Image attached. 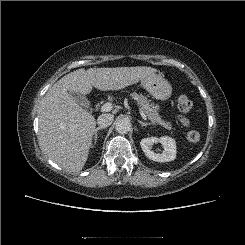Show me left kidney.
I'll return each instance as SVG.
<instances>
[{
    "label": "left kidney",
    "mask_w": 245,
    "mask_h": 245,
    "mask_svg": "<svg viewBox=\"0 0 245 245\" xmlns=\"http://www.w3.org/2000/svg\"><path fill=\"white\" fill-rule=\"evenodd\" d=\"M158 142L163 146L164 150L162 153H156L152 150L153 145ZM140 145L146 157L155 162H169L176 158V142L171 137L163 136L160 138H144L141 140Z\"/></svg>",
    "instance_id": "1"
}]
</instances>
